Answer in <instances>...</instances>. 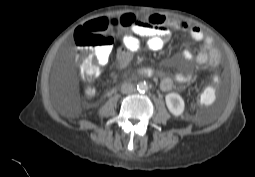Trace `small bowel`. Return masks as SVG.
<instances>
[{"instance_id":"obj_1","label":"small bowel","mask_w":255,"mask_h":177,"mask_svg":"<svg viewBox=\"0 0 255 177\" xmlns=\"http://www.w3.org/2000/svg\"><path fill=\"white\" fill-rule=\"evenodd\" d=\"M188 32L195 41L202 42L201 49L193 54L189 49H183L181 56L199 65L206 63L216 66L221 58L220 51L214 47L213 39L206 34L199 26L190 25L181 19H171L162 14H148L138 20L132 27L131 33L122 38V46L116 52L117 64L120 68H125L131 62L134 54L142 48L140 37L146 38L145 47L151 51H160L165 48L169 38L170 29ZM80 30H85L84 26ZM111 54V47H105L96 52V57L101 66L108 63ZM140 74L143 76L161 77L160 87L163 91H170L174 88L173 79L165 71L154 68H142ZM175 79L180 84H185L192 79L189 73H178Z\"/></svg>"}]
</instances>
